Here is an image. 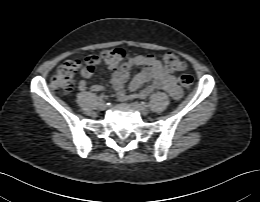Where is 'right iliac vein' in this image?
<instances>
[{
    "instance_id": "right-iliac-vein-1",
    "label": "right iliac vein",
    "mask_w": 260,
    "mask_h": 202,
    "mask_svg": "<svg viewBox=\"0 0 260 202\" xmlns=\"http://www.w3.org/2000/svg\"><path fill=\"white\" fill-rule=\"evenodd\" d=\"M99 108L101 110H105L107 108V104L104 101L99 102Z\"/></svg>"
}]
</instances>
